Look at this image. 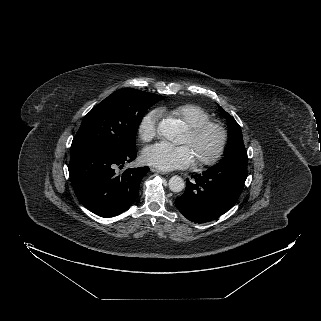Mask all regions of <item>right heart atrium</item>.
Here are the masks:
<instances>
[{
	"instance_id": "right-heart-atrium-1",
	"label": "right heart atrium",
	"mask_w": 321,
	"mask_h": 321,
	"mask_svg": "<svg viewBox=\"0 0 321 321\" xmlns=\"http://www.w3.org/2000/svg\"><path fill=\"white\" fill-rule=\"evenodd\" d=\"M159 117L158 110L149 111L143 116L138 126V135L141 140L148 142L156 136Z\"/></svg>"
}]
</instances>
